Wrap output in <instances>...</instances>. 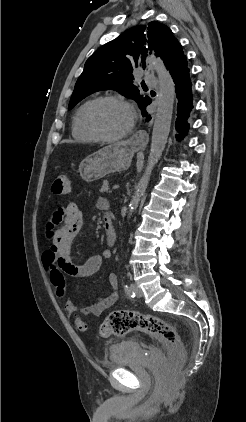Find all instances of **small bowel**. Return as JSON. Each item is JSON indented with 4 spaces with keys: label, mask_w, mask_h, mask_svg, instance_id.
Here are the masks:
<instances>
[{
    "label": "small bowel",
    "mask_w": 246,
    "mask_h": 422,
    "mask_svg": "<svg viewBox=\"0 0 246 422\" xmlns=\"http://www.w3.org/2000/svg\"><path fill=\"white\" fill-rule=\"evenodd\" d=\"M99 207L105 208L104 202L99 203ZM110 216L106 215L104 220ZM83 227V213L74 203L55 209L47 222V236L51 244L43 257L46 271L51 276L52 263L58 261L63 271L67 274L80 277H88L97 272L105 260L111 259L108 250L101 254L89 258L83 265H75L71 257V244L73 239L81 232ZM108 282L113 291L109 294L99 296L96 301L83 312L93 316L102 315L107 309L112 307L118 300L117 293L118 278L115 274H110ZM65 309L69 314L77 309L73 302L67 300Z\"/></svg>",
    "instance_id": "obj_1"
}]
</instances>
